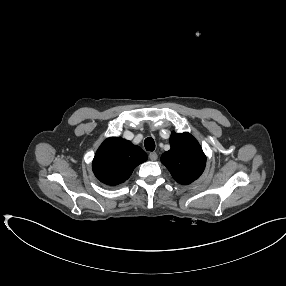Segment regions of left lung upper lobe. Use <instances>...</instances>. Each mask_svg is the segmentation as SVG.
Instances as JSON below:
<instances>
[{
    "label": "left lung upper lobe",
    "instance_id": "obj_1",
    "mask_svg": "<svg viewBox=\"0 0 286 286\" xmlns=\"http://www.w3.org/2000/svg\"><path fill=\"white\" fill-rule=\"evenodd\" d=\"M171 149L161 156V162L176 182L187 185L203 173L206 156L197 140L189 133H175L170 137Z\"/></svg>",
    "mask_w": 286,
    "mask_h": 286
}]
</instances>
